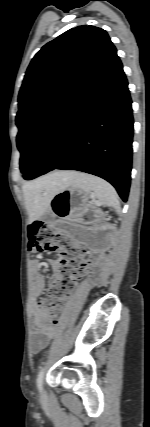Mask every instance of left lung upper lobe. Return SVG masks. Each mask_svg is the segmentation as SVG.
<instances>
[{"label":"left lung upper lobe","mask_w":150,"mask_h":427,"mask_svg":"<svg viewBox=\"0 0 150 427\" xmlns=\"http://www.w3.org/2000/svg\"><path fill=\"white\" fill-rule=\"evenodd\" d=\"M116 52L106 31L83 25L47 43L34 56L18 96L17 147L22 173L50 125Z\"/></svg>","instance_id":"left-lung-upper-lobe-1"}]
</instances>
